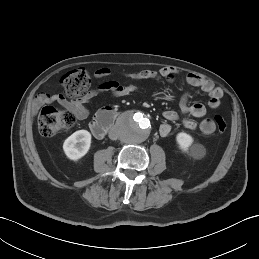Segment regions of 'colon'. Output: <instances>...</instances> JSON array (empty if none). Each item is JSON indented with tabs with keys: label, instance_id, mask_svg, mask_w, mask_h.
I'll list each match as a JSON object with an SVG mask.
<instances>
[{
	"label": "colon",
	"instance_id": "colon-1",
	"mask_svg": "<svg viewBox=\"0 0 259 259\" xmlns=\"http://www.w3.org/2000/svg\"><path fill=\"white\" fill-rule=\"evenodd\" d=\"M92 80V75L84 69H75L66 73L62 79L65 94L72 99L80 98L87 91ZM75 116L68 110H61L54 106H45L42 108L38 128L41 135L50 137L61 130L73 125ZM215 128L218 133H224L227 129V123L221 115L214 117Z\"/></svg>",
	"mask_w": 259,
	"mask_h": 259
}]
</instances>
